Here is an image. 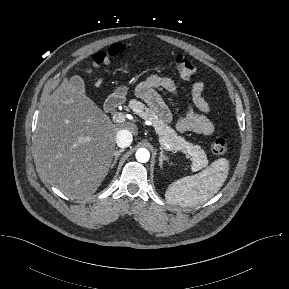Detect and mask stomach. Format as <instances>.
I'll use <instances>...</instances> for the list:
<instances>
[{
	"label": "stomach",
	"mask_w": 289,
	"mask_h": 289,
	"mask_svg": "<svg viewBox=\"0 0 289 289\" xmlns=\"http://www.w3.org/2000/svg\"><path fill=\"white\" fill-rule=\"evenodd\" d=\"M127 92H128V87L125 85H122V86H119L115 89L114 95L118 96L120 98H125Z\"/></svg>",
	"instance_id": "obj_1"
}]
</instances>
